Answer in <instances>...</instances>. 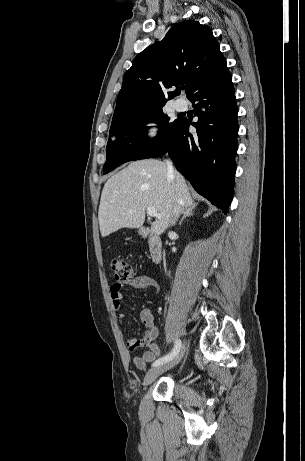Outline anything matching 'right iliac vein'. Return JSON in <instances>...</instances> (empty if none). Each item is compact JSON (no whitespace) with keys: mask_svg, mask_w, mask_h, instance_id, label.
Returning a JSON list of instances; mask_svg holds the SVG:
<instances>
[{"mask_svg":"<svg viewBox=\"0 0 305 461\" xmlns=\"http://www.w3.org/2000/svg\"><path fill=\"white\" fill-rule=\"evenodd\" d=\"M185 351V347L174 357L171 361L166 362L164 364L158 365L152 369H150L145 378H144V385L151 384L159 375L163 372L169 370L170 368L174 367L183 357Z\"/></svg>","mask_w":305,"mask_h":461,"instance_id":"obj_1","label":"right iliac vein"}]
</instances>
